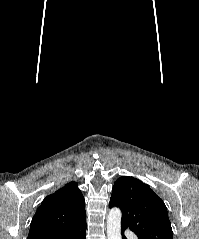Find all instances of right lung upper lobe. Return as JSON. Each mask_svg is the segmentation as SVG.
Segmentation results:
<instances>
[{
  "mask_svg": "<svg viewBox=\"0 0 199 239\" xmlns=\"http://www.w3.org/2000/svg\"><path fill=\"white\" fill-rule=\"evenodd\" d=\"M83 222H86L85 200L77 184L70 182L42 201L27 239L60 234Z\"/></svg>",
  "mask_w": 199,
  "mask_h": 239,
  "instance_id": "cb5924a9",
  "label": "right lung upper lobe"
}]
</instances>
